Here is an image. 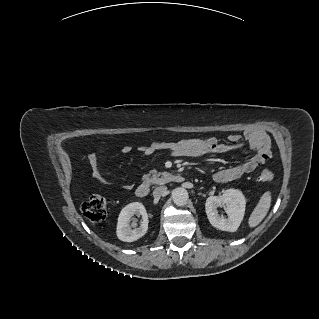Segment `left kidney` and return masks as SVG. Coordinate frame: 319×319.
<instances>
[{
  "instance_id": "left-kidney-1",
  "label": "left kidney",
  "mask_w": 319,
  "mask_h": 319,
  "mask_svg": "<svg viewBox=\"0 0 319 319\" xmlns=\"http://www.w3.org/2000/svg\"><path fill=\"white\" fill-rule=\"evenodd\" d=\"M224 207L227 218L218 213ZM246 207L243 193L237 189H227L221 196H210L205 202V211L210 224L222 231L235 232L240 226Z\"/></svg>"
}]
</instances>
